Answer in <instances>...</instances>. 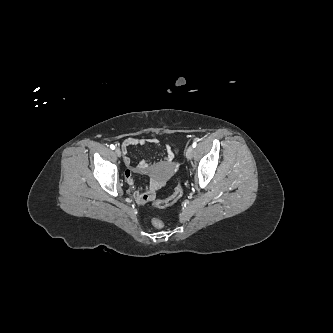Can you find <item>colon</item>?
I'll list each match as a JSON object with an SVG mask.
<instances>
[{
  "label": "colon",
  "instance_id": "colon-1",
  "mask_svg": "<svg viewBox=\"0 0 333 333\" xmlns=\"http://www.w3.org/2000/svg\"><path fill=\"white\" fill-rule=\"evenodd\" d=\"M182 195H183V186H182L181 183H179L175 187L173 193L169 197H167L165 199L156 200L154 202V206L157 207V208L169 207V206L175 204L181 198ZM152 224L157 229H160L164 226L163 221L160 218H157V217H154L152 219Z\"/></svg>",
  "mask_w": 333,
  "mask_h": 333
}]
</instances>
